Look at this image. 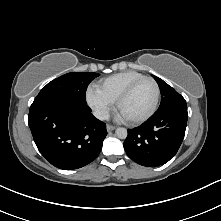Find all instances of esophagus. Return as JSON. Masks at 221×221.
Returning a JSON list of instances; mask_svg holds the SVG:
<instances>
[{
  "label": "esophagus",
  "mask_w": 221,
  "mask_h": 221,
  "mask_svg": "<svg viewBox=\"0 0 221 221\" xmlns=\"http://www.w3.org/2000/svg\"><path fill=\"white\" fill-rule=\"evenodd\" d=\"M106 128H107V131L110 132V131H113L115 129V126L108 124L106 126Z\"/></svg>",
  "instance_id": "34e87169"
}]
</instances>
